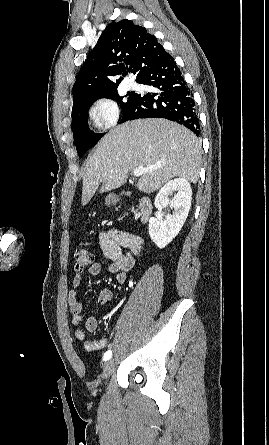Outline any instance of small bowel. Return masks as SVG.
Returning a JSON list of instances; mask_svg holds the SVG:
<instances>
[{"label":"small bowel","mask_w":269,"mask_h":445,"mask_svg":"<svg viewBox=\"0 0 269 445\" xmlns=\"http://www.w3.org/2000/svg\"><path fill=\"white\" fill-rule=\"evenodd\" d=\"M100 246L103 254L111 263L107 270L116 275L119 283H124L127 280L128 272L133 268L136 256L141 248V239L131 233L119 231L115 229L100 233ZM103 269L101 263H93L87 269L90 275H98ZM83 277L80 273L73 278V289L69 292L68 303L72 315V323L78 328L76 330V338L82 341L84 348L88 352H93L104 348L108 339L101 337L98 340L86 339L87 332H93L98 327V322L95 317V312L99 306L112 301L114 293L110 289H102L99 293L96 304L92 308V312L85 321L83 316V305L78 300V289L81 287ZM83 325V326H82Z\"/></svg>","instance_id":"obj_1"}]
</instances>
